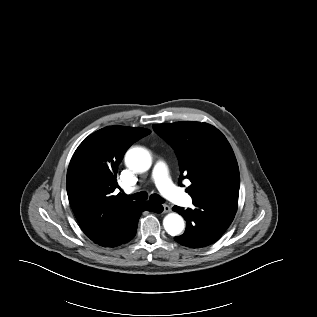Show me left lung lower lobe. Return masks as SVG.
Instances as JSON below:
<instances>
[{"instance_id": "left-lung-lower-lobe-1", "label": "left lung lower lobe", "mask_w": 317, "mask_h": 317, "mask_svg": "<svg viewBox=\"0 0 317 317\" xmlns=\"http://www.w3.org/2000/svg\"><path fill=\"white\" fill-rule=\"evenodd\" d=\"M194 205V210L173 207V210L186 220L185 233L174 239L183 246L203 248L216 242L223 235L233 221L237 209L203 202Z\"/></svg>"}]
</instances>
